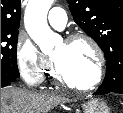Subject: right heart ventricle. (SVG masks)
Listing matches in <instances>:
<instances>
[{"label":"right heart ventricle","mask_w":123,"mask_h":113,"mask_svg":"<svg viewBox=\"0 0 123 113\" xmlns=\"http://www.w3.org/2000/svg\"><path fill=\"white\" fill-rule=\"evenodd\" d=\"M48 72H49V74H50L51 76H54L51 66H50V68L48 69Z\"/></svg>","instance_id":"right-heart-ventricle-1"}]
</instances>
